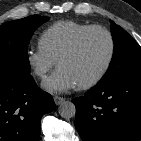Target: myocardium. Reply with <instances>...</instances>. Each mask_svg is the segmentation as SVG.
<instances>
[{
    "mask_svg": "<svg viewBox=\"0 0 141 141\" xmlns=\"http://www.w3.org/2000/svg\"><path fill=\"white\" fill-rule=\"evenodd\" d=\"M94 31H100L103 32L104 34H106V36L108 37L109 40V54L108 57L106 59V62L104 63L103 67L101 68V70L90 80L77 84V87L79 89H88V88H92L95 85H97L108 73L114 56H115V50H116V44H115V39L114 36L112 34V32L103 27V26H99V25H93L87 29H85L84 31H82L80 34H78L74 40L71 42V44L66 48V50L60 55V57L57 60V65L59 66V64L65 60L66 58L70 57L71 55H73L77 49L79 48L80 44L82 43V41L84 40V38L94 32Z\"/></svg>",
    "mask_w": 141,
    "mask_h": 141,
    "instance_id": "obj_1",
    "label": "myocardium"
}]
</instances>
